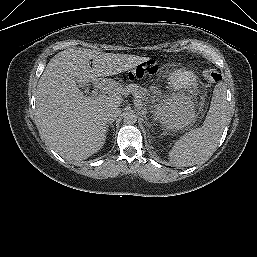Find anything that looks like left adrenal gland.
Masks as SVG:
<instances>
[{
  "label": "left adrenal gland",
  "instance_id": "a2214340",
  "mask_svg": "<svg viewBox=\"0 0 257 257\" xmlns=\"http://www.w3.org/2000/svg\"><path fill=\"white\" fill-rule=\"evenodd\" d=\"M142 114H143L144 118L146 119V112L143 111Z\"/></svg>",
  "mask_w": 257,
  "mask_h": 257
}]
</instances>
